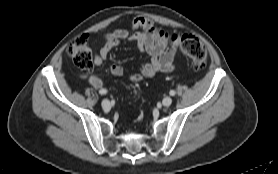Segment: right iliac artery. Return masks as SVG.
Masks as SVG:
<instances>
[{"label": "right iliac artery", "instance_id": "obj_1", "mask_svg": "<svg viewBox=\"0 0 278 174\" xmlns=\"http://www.w3.org/2000/svg\"><path fill=\"white\" fill-rule=\"evenodd\" d=\"M99 93H100L101 95H105V94L107 93V90H106V89H101V90L99 91Z\"/></svg>", "mask_w": 278, "mask_h": 174}]
</instances>
